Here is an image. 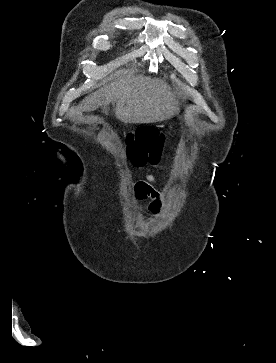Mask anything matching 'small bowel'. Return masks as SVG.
<instances>
[{
  "instance_id": "obj_1",
  "label": "small bowel",
  "mask_w": 276,
  "mask_h": 363,
  "mask_svg": "<svg viewBox=\"0 0 276 363\" xmlns=\"http://www.w3.org/2000/svg\"><path fill=\"white\" fill-rule=\"evenodd\" d=\"M155 181L156 177L149 174L145 179L139 180L135 185L136 198L140 201L149 200L152 211H156L161 205V193L152 186V183Z\"/></svg>"
}]
</instances>
